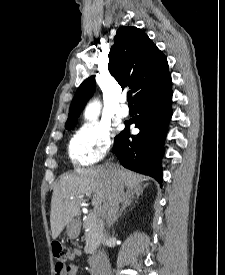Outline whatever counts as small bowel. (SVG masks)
<instances>
[{
  "label": "small bowel",
  "instance_id": "1",
  "mask_svg": "<svg viewBox=\"0 0 225 275\" xmlns=\"http://www.w3.org/2000/svg\"><path fill=\"white\" fill-rule=\"evenodd\" d=\"M82 255V251L79 248L73 250L69 257V263L67 265V271L64 275H76L77 273V266L76 261Z\"/></svg>",
  "mask_w": 225,
  "mask_h": 275
}]
</instances>
